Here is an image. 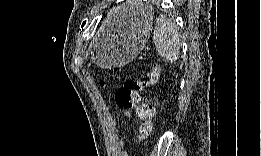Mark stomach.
<instances>
[{"mask_svg":"<svg viewBox=\"0 0 261 156\" xmlns=\"http://www.w3.org/2000/svg\"><path fill=\"white\" fill-rule=\"evenodd\" d=\"M151 25L150 13L131 19L128 24L96 46V62L106 67L129 62L143 49Z\"/></svg>","mask_w":261,"mask_h":156,"instance_id":"0dacf381","label":"stomach"}]
</instances>
